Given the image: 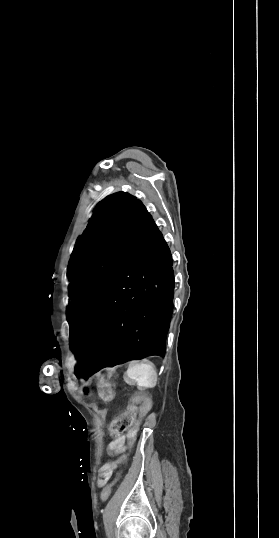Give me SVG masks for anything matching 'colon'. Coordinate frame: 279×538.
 Instances as JSON below:
<instances>
[{"mask_svg":"<svg viewBox=\"0 0 279 538\" xmlns=\"http://www.w3.org/2000/svg\"><path fill=\"white\" fill-rule=\"evenodd\" d=\"M138 398L135 397L126 408L124 412L115 417L109 427L110 435L116 437L124 431H128L127 444L131 446L139 433V423L136 422V416L138 413ZM117 448L114 444H111L105 453V456L101 459V465L98 472V480L100 482H107L114 469L113 455L116 453ZM114 482L105 486L101 492V499L106 501L109 499Z\"/></svg>","mask_w":279,"mask_h":538,"instance_id":"5ec220e1","label":"colon"}]
</instances>
